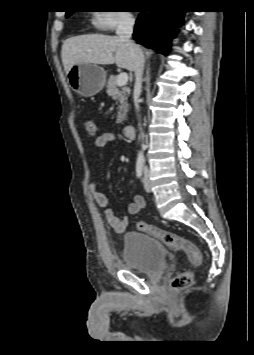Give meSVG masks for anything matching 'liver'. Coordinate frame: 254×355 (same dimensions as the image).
Returning a JSON list of instances; mask_svg holds the SVG:
<instances>
[{
  "label": "liver",
  "mask_w": 254,
  "mask_h": 355,
  "mask_svg": "<svg viewBox=\"0 0 254 355\" xmlns=\"http://www.w3.org/2000/svg\"><path fill=\"white\" fill-rule=\"evenodd\" d=\"M61 57L66 73L79 63H115L129 71H134L135 67L133 52L118 36L88 34L71 37L64 41Z\"/></svg>",
  "instance_id": "obj_1"
}]
</instances>
